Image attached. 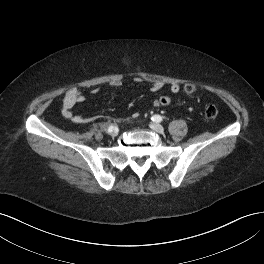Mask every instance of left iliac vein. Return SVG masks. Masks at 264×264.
<instances>
[{
  "instance_id": "left-iliac-vein-1",
  "label": "left iliac vein",
  "mask_w": 264,
  "mask_h": 264,
  "mask_svg": "<svg viewBox=\"0 0 264 264\" xmlns=\"http://www.w3.org/2000/svg\"><path fill=\"white\" fill-rule=\"evenodd\" d=\"M150 128H151L152 130H154L155 132H157V133H163V132H164V128H163V126L160 125V124H157V123H153V124H151V125H150Z\"/></svg>"
}]
</instances>
